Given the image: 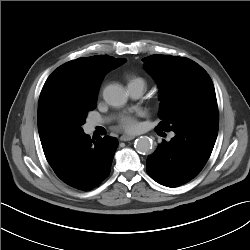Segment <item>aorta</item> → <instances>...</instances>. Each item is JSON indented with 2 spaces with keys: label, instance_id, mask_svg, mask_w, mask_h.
Wrapping results in <instances>:
<instances>
[{
  "label": "aorta",
  "instance_id": "762f6f07",
  "mask_svg": "<svg viewBox=\"0 0 250 250\" xmlns=\"http://www.w3.org/2000/svg\"><path fill=\"white\" fill-rule=\"evenodd\" d=\"M104 100L111 106L121 107L127 102L125 89L118 84H110L103 90ZM134 147L140 154H148L153 149L152 140L149 137L141 136L135 140Z\"/></svg>",
  "mask_w": 250,
  "mask_h": 250
}]
</instances>
